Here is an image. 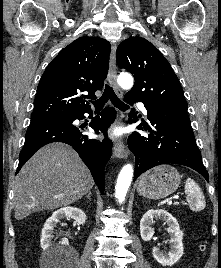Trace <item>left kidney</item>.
Listing matches in <instances>:
<instances>
[{"mask_svg":"<svg viewBox=\"0 0 221 268\" xmlns=\"http://www.w3.org/2000/svg\"><path fill=\"white\" fill-rule=\"evenodd\" d=\"M162 219L168 225L167 232L170 234L171 250L168 253L160 251L158 247H153L152 254L158 263L163 266H172L183 255V232L180 230L177 220L163 209H151L147 211L140 221V234L144 241H150L154 235L151 225L154 220Z\"/></svg>","mask_w":221,"mask_h":268,"instance_id":"1","label":"left kidney"}]
</instances>
